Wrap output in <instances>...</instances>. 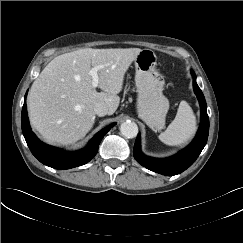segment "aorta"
<instances>
[{
  "label": "aorta",
  "mask_w": 243,
  "mask_h": 243,
  "mask_svg": "<svg viewBox=\"0 0 243 243\" xmlns=\"http://www.w3.org/2000/svg\"><path fill=\"white\" fill-rule=\"evenodd\" d=\"M120 132L125 138H135L138 134V126L132 121L123 122L120 126Z\"/></svg>",
  "instance_id": "762f6f07"
}]
</instances>
